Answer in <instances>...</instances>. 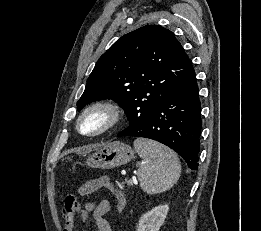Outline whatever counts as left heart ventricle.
Returning <instances> with one entry per match:
<instances>
[{
    "instance_id": "obj_1",
    "label": "left heart ventricle",
    "mask_w": 261,
    "mask_h": 231,
    "mask_svg": "<svg viewBox=\"0 0 261 231\" xmlns=\"http://www.w3.org/2000/svg\"><path fill=\"white\" fill-rule=\"evenodd\" d=\"M107 121V116L102 111H92L88 113L80 123V129L85 133H90L101 128Z\"/></svg>"
}]
</instances>
